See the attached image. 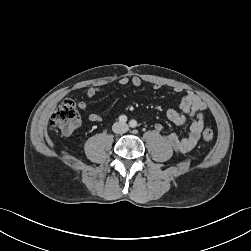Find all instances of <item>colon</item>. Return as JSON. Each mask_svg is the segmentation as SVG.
Instances as JSON below:
<instances>
[{
	"label": "colon",
	"instance_id": "colon-1",
	"mask_svg": "<svg viewBox=\"0 0 251 251\" xmlns=\"http://www.w3.org/2000/svg\"><path fill=\"white\" fill-rule=\"evenodd\" d=\"M50 123L52 127L59 128L67 134L73 133L80 123L76 99L68 98L64 100L52 114ZM202 138L205 142H212L214 139L213 130L210 128L204 129Z\"/></svg>",
	"mask_w": 251,
	"mask_h": 251
}]
</instances>
